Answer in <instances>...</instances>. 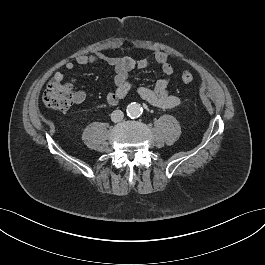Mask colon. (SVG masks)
Here are the masks:
<instances>
[{
  "label": "colon",
  "instance_id": "1",
  "mask_svg": "<svg viewBox=\"0 0 265 265\" xmlns=\"http://www.w3.org/2000/svg\"><path fill=\"white\" fill-rule=\"evenodd\" d=\"M181 80L185 84H190L195 81V78L191 72L183 71ZM43 103L53 111L68 110L74 103V92L71 85L53 77L44 90Z\"/></svg>",
  "mask_w": 265,
  "mask_h": 265
}]
</instances>
